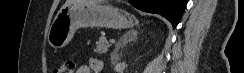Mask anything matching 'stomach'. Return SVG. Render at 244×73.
Here are the masks:
<instances>
[{
    "label": "stomach",
    "mask_w": 244,
    "mask_h": 73,
    "mask_svg": "<svg viewBox=\"0 0 244 73\" xmlns=\"http://www.w3.org/2000/svg\"><path fill=\"white\" fill-rule=\"evenodd\" d=\"M137 24V19L111 5L75 1L63 6L55 16L49 32L48 43L54 49L65 47L80 27L127 29Z\"/></svg>",
    "instance_id": "1"
}]
</instances>
